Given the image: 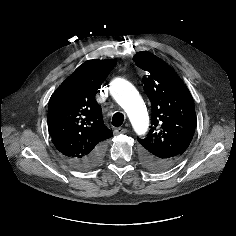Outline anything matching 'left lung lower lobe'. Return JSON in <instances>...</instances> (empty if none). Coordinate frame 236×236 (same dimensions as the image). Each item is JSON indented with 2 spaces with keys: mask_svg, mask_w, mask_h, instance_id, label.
<instances>
[{
  "mask_svg": "<svg viewBox=\"0 0 236 236\" xmlns=\"http://www.w3.org/2000/svg\"><path fill=\"white\" fill-rule=\"evenodd\" d=\"M173 165H174V162H172V161L163 162V171L170 168V167H172Z\"/></svg>",
  "mask_w": 236,
  "mask_h": 236,
  "instance_id": "0a47b994",
  "label": "left lung lower lobe"
}]
</instances>
